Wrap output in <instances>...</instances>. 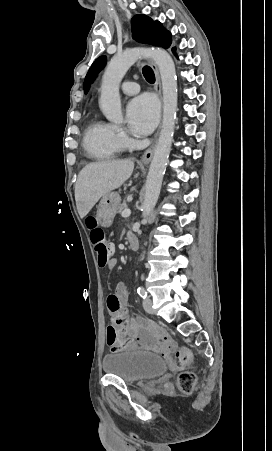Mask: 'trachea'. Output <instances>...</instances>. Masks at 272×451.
I'll use <instances>...</instances> for the list:
<instances>
[{"instance_id":"3493384b","label":"trachea","mask_w":272,"mask_h":451,"mask_svg":"<svg viewBox=\"0 0 272 451\" xmlns=\"http://www.w3.org/2000/svg\"><path fill=\"white\" fill-rule=\"evenodd\" d=\"M143 75L146 78L147 82L154 83L155 76L153 70L150 67L148 66L143 67Z\"/></svg>"}]
</instances>
